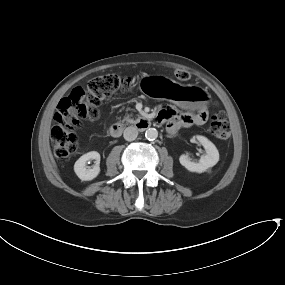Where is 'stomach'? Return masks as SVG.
Returning <instances> with one entry per match:
<instances>
[{"mask_svg":"<svg viewBox=\"0 0 285 285\" xmlns=\"http://www.w3.org/2000/svg\"><path fill=\"white\" fill-rule=\"evenodd\" d=\"M140 89L150 96H154L158 87L168 86L170 93L167 98L182 109L196 110L209 103V94L196 85H181L178 82L162 77L145 75L139 82Z\"/></svg>","mask_w":285,"mask_h":285,"instance_id":"stomach-1","label":"stomach"}]
</instances>
